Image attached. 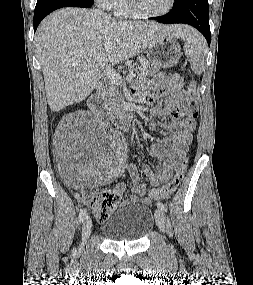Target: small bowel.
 I'll list each match as a JSON object with an SVG mask.
<instances>
[{
  "instance_id": "small-bowel-1",
  "label": "small bowel",
  "mask_w": 253,
  "mask_h": 285,
  "mask_svg": "<svg viewBox=\"0 0 253 285\" xmlns=\"http://www.w3.org/2000/svg\"><path fill=\"white\" fill-rule=\"evenodd\" d=\"M133 93L149 104H153L160 97L168 99L165 107L151 106L149 112L156 117L169 116L172 121L161 126L172 134L164 139V144L154 143L149 147L150 154L158 158L155 169H151L147 164L142 166V171L150 184L159 188L169 181L173 171L179 167L192 141L191 133L195 128V120L184 117V104L188 99V93L182 88V79L179 75L165 74L139 81L134 86ZM66 151V145L61 146V152L67 153ZM128 173L132 181L133 194L129 198L131 202L147 205L153 199H166L170 195L153 194L152 190L155 188L148 191L146 184L140 182L134 165H129ZM125 189V183L118 182L113 190L121 195Z\"/></svg>"
}]
</instances>
